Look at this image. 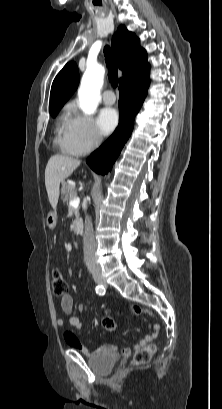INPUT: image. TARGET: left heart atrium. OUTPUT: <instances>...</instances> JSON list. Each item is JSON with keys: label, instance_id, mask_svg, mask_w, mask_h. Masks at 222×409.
<instances>
[{"label": "left heart atrium", "instance_id": "1", "mask_svg": "<svg viewBox=\"0 0 222 409\" xmlns=\"http://www.w3.org/2000/svg\"><path fill=\"white\" fill-rule=\"evenodd\" d=\"M118 120V113L114 108L102 109L97 118L100 132L104 135L110 134L116 128Z\"/></svg>", "mask_w": 222, "mask_h": 409}]
</instances>
